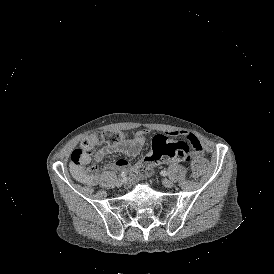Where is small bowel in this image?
Segmentation results:
<instances>
[{"label":"small bowel","mask_w":274,"mask_h":274,"mask_svg":"<svg viewBox=\"0 0 274 274\" xmlns=\"http://www.w3.org/2000/svg\"><path fill=\"white\" fill-rule=\"evenodd\" d=\"M148 133L149 131L147 129H142L137 131L131 139H126L123 137L117 143L104 144L94 154L83 153L78 162H72L71 173L73 177L81 183H92L96 178L98 167L97 165L87 167L91 161L99 162L107 155L116 152H121L136 157L145 145ZM172 135L183 136L191 145L195 156L198 154L204 155L203 144L193 133L177 131L173 132ZM152 142L153 143L148 150L146 158H139L137 160L136 167L139 169H146L149 165V170H151L155 167L156 163L185 164L188 162L190 151L184 141L168 138L164 133H156L152 137ZM130 167L131 164L127 159L120 158L109 165L108 168L111 170H125Z\"/></svg>","instance_id":"small-bowel-1"}]
</instances>
